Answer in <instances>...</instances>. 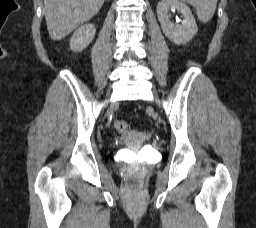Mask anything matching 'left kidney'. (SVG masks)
Returning <instances> with one entry per match:
<instances>
[{"instance_id": "5707ae66", "label": "left kidney", "mask_w": 256, "mask_h": 228, "mask_svg": "<svg viewBox=\"0 0 256 228\" xmlns=\"http://www.w3.org/2000/svg\"><path fill=\"white\" fill-rule=\"evenodd\" d=\"M170 10H177L184 17L182 24H174L170 21L168 14ZM157 16L165 36L177 45L188 43L198 31L191 10L179 0H162L159 2Z\"/></svg>"}]
</instances>
